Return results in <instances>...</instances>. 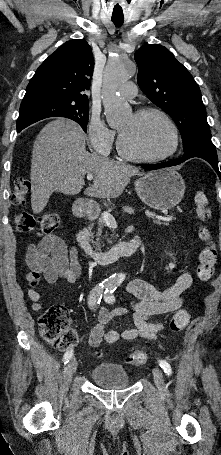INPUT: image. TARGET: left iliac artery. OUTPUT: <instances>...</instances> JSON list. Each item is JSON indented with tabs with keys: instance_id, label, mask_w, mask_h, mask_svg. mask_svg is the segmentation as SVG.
I'll return each instance as SVG.
<instances>
[{
	"instance_id": "44dca946",
	"label": "left iliac artery",
	"mask_w": 221,
	"mask_h": 455,
	"mask_svg": "<svg viewBox=\"0 0 221 455\" xmlns=\"http://www.w3.org/2000/svg\"><path fill=\"white\" fill-rule=\"evenodd\" d=\"M116 287L110 285L106 291H105V295H104V299L107 303H113L115 301V297L113 295L114 291H115ZM159 365L160 367L164 370V372L166 373V375H171L172 373V369H171V366L170 364L166 361V360H160L159 361Z\"/></svg>"
}]
</instances>
